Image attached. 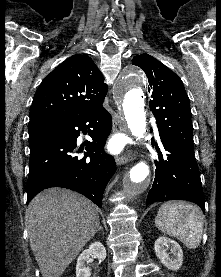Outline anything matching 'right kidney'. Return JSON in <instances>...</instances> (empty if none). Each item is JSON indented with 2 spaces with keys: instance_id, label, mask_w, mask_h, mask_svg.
Listing matches in <instances>:
<instances>
[{
  "instance_id": "ca27d5eb",
  "label": "right kidney",
  "mask_w": 221,
  "mask_h": 277,
  "mask_svg": "<svg viewBox=\"0 0 221 277\" xmlns=\"http://www.w3.org/2000/svg\"><path fill=\"white\" fill-rule=\"evenodd\" d=\"M92 256L97 258L99 262L106 258V250L101 242L92 243L88 249L84 250L77 259L76 277H90L91 272L85 266V262Z\"/></svg>"
}]
</instances>
